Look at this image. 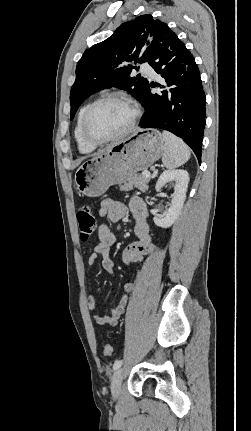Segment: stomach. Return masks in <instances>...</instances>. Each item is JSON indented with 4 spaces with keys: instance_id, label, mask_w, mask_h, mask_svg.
Listing matches in <instances>:
<instances>
[{
    "instance_id": "obj_1",
    "label": "stomach",
    "mask_w": 251,
    "mask_h": 431,
    "mask_svg": "<svg viewBox=\"0 0 251 431\" xmlns=\"http://www.w3.org/2000/svg\"><path fill=\"white\" fill-rule=\"evenodd\" d=\"M163 151L164 142L159 131H137L85 161L75 173L76 187L85 196H101L110 186L125 183L137 172L147 170Z\"/></svg>"
}]
</instances>
